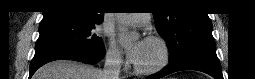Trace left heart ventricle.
I'll return each mask as SVG.
<instances>
[{
    "label": "left heart ventricle",
    "mask_w": 255,
    "mask_h": 79,
    "mask_svg": "<svg viewBox=\"0 0 255 79\" xmlns=\"http://www.w3.org/2000/svg\"><path fill=\"white\" fill-rule=\"evenodd\" d=\"M129 28L136 30L139 25L133 24ZM161 55V49L157 43L145 41L143 52L136 64L141 68H152L160 61Z\"/></svg>",
    "instance_id": "left-heart-ventricle-1"
}]
</instances>
